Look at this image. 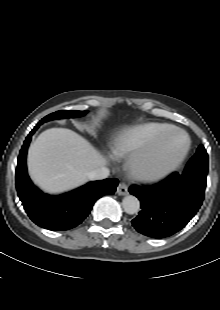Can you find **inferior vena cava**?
<instances>
[{"instance_id":"1","label":"inferior vena cava","mask_w":220,"mask_h":310,"mask_svg":"<svg viewBox=\"0 0 220 310\" xmlns=\"http://www.w3.org/2000/svg\"><path fill=\"white\" fill-rule=\"evenodd\" d=\"M109 169L105 166L99 167L87 174L88 179L90 180H101L109 176Z\"/></svg>"}]
</instances>
